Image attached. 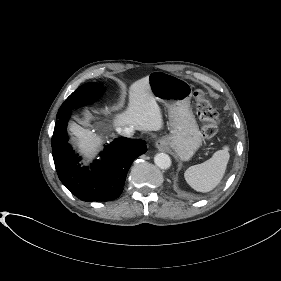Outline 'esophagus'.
Wrapping results in <instances>:
<instances>
[{"label":"esophagus","instance_id":"34e87169","mask_svg":"<svg viewBox=\"0 0 281 281\" xmlns=\"http://www.w3.org/2000/svg\"><path fill=\"white\" fill-rule=\"evenodd\" d=\"M156 148L159 150H164L165 149V143L162 140H158L155 144Z\"/></svg>","mask_w":281,"mask_h":281}]
</instances>
